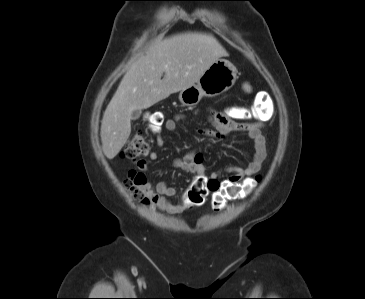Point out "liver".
<instances>
[{"label":"liver","mask_w":365,"mask_h":299,"mask_svg":"<svg viewBox=\"0 0 365 299\" xmlns=\"http://www.w3.org/2000/svg\"><path fill=\"white\" fill-rule=\"evenodd\" d=\"M227 55L213 35L204 33H182L151 45L131 65L104 112L101 141L106 157L113 159L127 142L133 111L194 85L216 60Z\"/></svg>","instance_id":"liver-1"}]
</instances>
